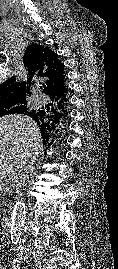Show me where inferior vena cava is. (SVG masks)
Wrapping results in <instances>:
<instances>
[{"mask_svg":"<svg viewBox=\"0 0 118 269\" xmlns=\"http://www.w3.org/2000/svg\"><path fill=\"white\" fill-rule=\"evenodd\" d=\"M34 162V160L25 159L18 165L17 172L14 176V181L18 192L21 191L22 186H24L26 181L29 179V176L32 173Z\"/></svg>","mask_w":118,"mask_h":269,"instance_id":"obj_1","label":"inferior vena cava"}]
</instances>
